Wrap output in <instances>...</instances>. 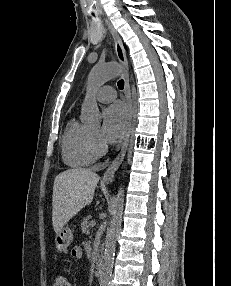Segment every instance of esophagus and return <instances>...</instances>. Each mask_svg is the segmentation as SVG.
I'll list each match as a JSON object with an SVG mask.
<instances>
[{
	"label": "esophagus",
	"instance_id": "34e87169",
	"mask_svg": "<svg viewBox=\"0 0 231 286\" xmlns=\"http://www.w3.org/2000/svg\"><path fill=\"white\" fill-rule=\"evenodd\" d=\"M105 21H106L107 27L110 30V33H111L113 40H114L117 58H118L119 62L121 63V65L124 69V74H123V77H124V95H125L126 105L128 108V113H129L128 127H127V131H126L124 140H123L122 145H121V149H120L119 153L117 154V156L112 161V163L110 164V166L108 167V169L105 171L104 176H103V181L107 184H110L113 182L115 172L117 171V169L119 168V166L123 162V159L125 157V154H126V151L128 148L130 136L132 133L134 108H133L131 91H130V84H129L128 61H127L126 53H125L121 38H120L119 34L117 33V31L113 28V26L107 20H105Z\"/></svg>",
	"mask_w": 231,
	"mask_h": 286
}]
</instances>
